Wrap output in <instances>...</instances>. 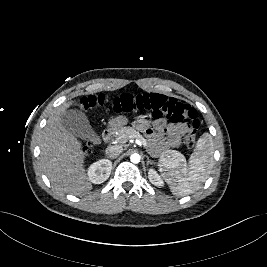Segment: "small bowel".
<instances>
[{"instance_id": "c3829d8e", "label": "small bowel", "mask_w": 267, "mask_h": 267, "mask_svg": "<svg viewBox=\"0 0 267 267\" xmlns=\"http://www.w3.org/2000/svg\"><path fill=\"white\" fill-rule=\"evenodd\" d=\"M136 129L143 131L154 150L176 147L187 132L185 124H171L160 119L150 123L146 119L135 121Z\"/></svg>"}]
</instances>
